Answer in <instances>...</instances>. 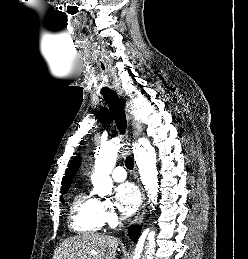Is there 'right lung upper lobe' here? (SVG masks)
<instances>
[{
	"label": "right lung upper lobe",
	"mask_w": 248,
	"mask_h": 259,
	"mask_svg": "<svg viewBox=\"0 0 248 259\" xmlns=\"http://www.w3.org/2000/svg\"><path fill=\"white\" fill-rule=\"evenodd\" d=\"M79 166H80V158L79 156H77L69 165V168L67 169L65 176L63 177L61 191L69 189L72 179L76 174Z\"/></svg>",
	"instance_id": "1"
}]
</instances>
